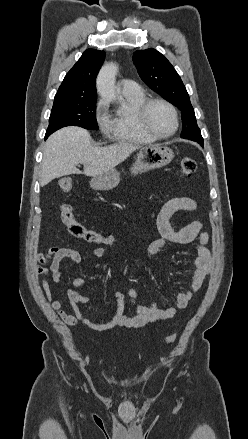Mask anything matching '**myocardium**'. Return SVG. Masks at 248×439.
<instances>
[{"label":"myocardium","instance_id":"obj_1","mask_svg":"<svg viewBox=\"0 0 248 439\" xmlns=\"http://www.w3.org/2000/svg\"><path fill=\"white\" fill-rule=\"evenodd\" d=\"M154 103H160V104L165 105L166 107L169 108V110L171 111V113L173 115L174 128L169 134H166V135L158 134L157 132H155L151 128V126L148 122V111H149L150 106ZM137 117H138V121H139L141 127L143 128V130L155 139H168V138L172 137L177 132L178 127H179V117H178V112H177L175 106L171 102H169L168 100L163 99V98H159V97L146 98L141 103V105L139 106V108L137 110Z\"/></svg>","mask_w":248,"mask_h":439}]
</instances>
